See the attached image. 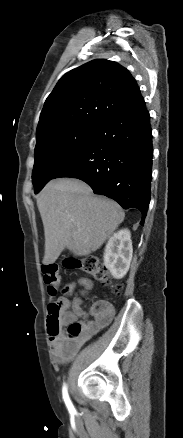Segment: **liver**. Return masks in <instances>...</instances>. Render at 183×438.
<instances>
[{
  "instance_id": "obj_1",
  "label": "liver",
  "mask_w": 183,
  "mask_h": 438,
  "mask_svg": "<svg viewBox=\"0 0 183 438\" xmlns=\"http://www.w3.org/2000/svg\"><path fill=\"white\" fill-rule=\"evenodd\" d=\"M37 206L44 226L45 265L55 262L65 248L76 256L95 252L125 217L116 202L94 196L90 186L74 178L50 181Z\"/></svg>"
}]
</instances>
